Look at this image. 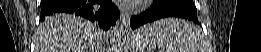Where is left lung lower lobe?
<instances>
[{"mask_svg": "<svg viewBox=\"0 0 261 52\" xmlns=\"http://www.w3.org/2000/svg\"><path fill=\"white\" fill-rule=\"evenodd\" d=\"M165 17L186 18L198 24L195 6L183 1L169 2L156 0L155 5L149 10L132 16L130 26L132 29H136L139 26Z\"/></svg>", "mask_w": 261, "mask_h": 52, "instance_id": "0a47b994", "label": "left lung lower lobe"}]
</instances>
